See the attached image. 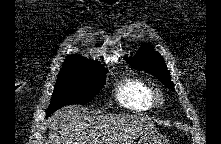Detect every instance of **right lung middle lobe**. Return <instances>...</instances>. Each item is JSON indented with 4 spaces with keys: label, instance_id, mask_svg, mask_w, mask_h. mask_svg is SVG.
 I'll return each instance as SVG.
<instances>
[{
    "label": "right lung middle lobe",
    "instance_id": "right-lung-middle-lobe-1",
    "mask_svg": "<svg viewBox=\"0 0 221 144\" xmlns=\"http://www.w3.org/2000/svg\"><path fill=\"white\" fill-rule=\"evenodd\" d=\"M106 68L101 65L62 67L46 111L48 117L65 105L90 102L105 84Z\"/></svg>",
    "mask_w": 221,
    "mask_h": 144
}]
</instances>
